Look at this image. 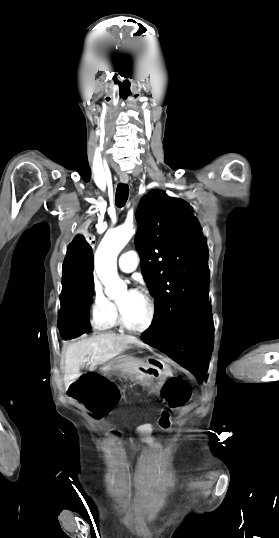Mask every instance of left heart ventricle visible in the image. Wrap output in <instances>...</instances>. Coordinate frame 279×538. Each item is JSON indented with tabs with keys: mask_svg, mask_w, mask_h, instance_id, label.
Listing matches in <instances>:
<instances>
[{
	"mask_svg": "<svg viewBox=\"0 0 279 538\" xmlns=\"http://www.w3.org/2000/svg\"><path fill=\"white\" fill-rule=\"evenodd\" d=\"M117 300L121 303L125 318L132 327L138 328L145 323L148 307L140 295L125 289L118 295Z\"/></svg>",
	"mask_w": 279,
	"mask_h": 538,
	"instance_id": "left-heart-ventricle-1",
	"label": "left heart ventricle"
}]
</instances>
